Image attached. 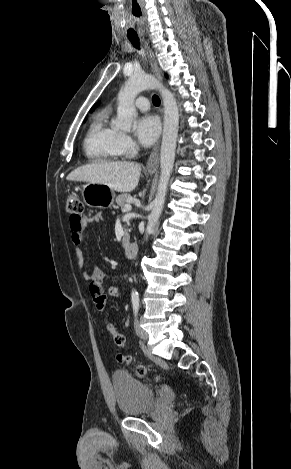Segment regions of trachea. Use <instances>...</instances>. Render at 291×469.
I'll return each mask as SVG.
<instances>
[{"label":"trachea","instance_id":"trachea-1","mask_svg":"<svg viewBox=\"0 0 291 469\" xmlns=\"http://www.w3.org/2000/svg\"><path fill=\"white\" fill-rule=\"evenodd\" d=\"M128 39L130 40V42L132 43V45L139 49L140 48V42H139V39L137 37H128ZM152 102L155 106H159L160 105V99L157 95H154L152 97Z\"/></svg>","mask_w":291,"mask_h":469}]
</instances>
